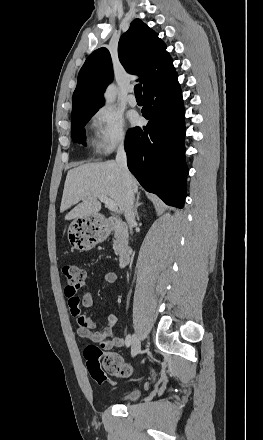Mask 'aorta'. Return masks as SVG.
<instances>
[{
	"label": "aorta",
	"instance_id": "1",
	"mask_svg": "<svg viewBox=\"0 0 263 440\" xmlns=\"http://www.w3.org/2000/svg\"><path fill=\"white\" fill-rule=\"evenodd\" d=\"M104 98L107 104H112L116 99V87L114 85L108 86L104 93Z\"/></svg>",
	"mask_w": 263,
	"mask_h": 440
}]
</instances>
